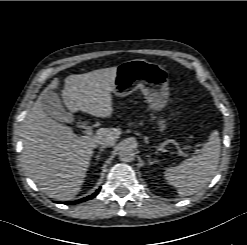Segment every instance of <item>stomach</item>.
Here are the masks:
<instances>
[{"mask_svg": "<svg viewBox=\"0 0 247 245\" xmlns=\"http://www.w3.org/2000/svg\"><path fill=\"white\" fill-rule=\"evenodd\" d=\"M167 71L156 63L144 59H133L117 66L114 90L118 97H124L140 89L154 112L161 111L169 97ZM156 119V117H153ZM158 131L166 129V121L157 118Z\"/></svg>", "mask_w": 247, "mask_h": 245, "instance_id": "obj_1", "label": "stomach"}]
</instances>
